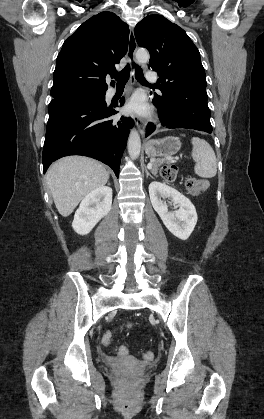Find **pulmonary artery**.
<instances>
[{"label": "pulmonary artery", "mask_w": 264, "mask_h": 419, "mask_svg": "<svg viewBox=\"0 0 264 419\" xmlns=\"http://www.w3.org/2000/svg\"><path fill=\"white\" fill-rule=\"evenodd\" d=\"M146 79L149 81V82H156L157 81V75H156V73L155 72H153V71H148L147 73H146ZM115 92V89H110V93H114Z\"/></svg>", "instance_id": "e3ab8cb5"}]
</instances>
